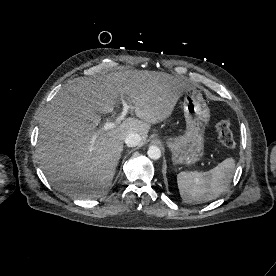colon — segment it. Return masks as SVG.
<instances>
[{
  "label": "colon",
  "mask_w": 276,
  "mask_h": 276,
  "mask_svg": "<svg viewBox=\"0 0 276 276\" xmlns=\"http://www.w3.org/2000/svg\"><path fill=\"white\" fill-rule=\"evenodd\" d=\"M217 134L219 142L228 149H233L236 145L234 136L231 131V125L228 120H221L218 122Z\"/></svg>",
  "instance_id": "5ec220e1"
}]
</instances>
